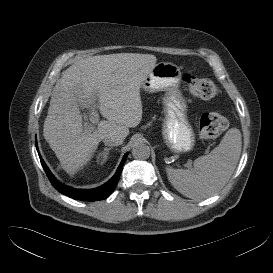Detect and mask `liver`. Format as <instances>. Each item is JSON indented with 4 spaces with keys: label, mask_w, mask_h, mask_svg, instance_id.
Returning a JSON list of instances; mask_svg holds the SVG:
<instances>
[{
    "label": "liver",
    "mask_w": 273,
    "mask_h": 273,
    "mask_svg": "<svg viewBox=\"0 0 273 273\" xmlns=\"http://www.w3.org/2000/svg\"><path fill=\"white\" fill-rule=\"evenodd\" d=\"M156 60L139 53L89 56L63 72L51 94L43 135L68 173L83 167L104 138L114 136L123 143L129 127L140 123L141 84ZM79 105L99 108L106 120L87 130Z\"/></svg>",
    "instance_id": "6515ba94"
}]
</instances>
